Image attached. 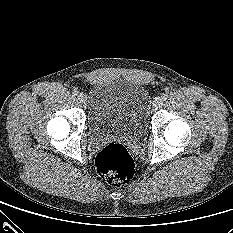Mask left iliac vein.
Instances as JSON below:
<instances>
[{"label": "left iliac vein", "mask_w": 233, "mask_h": 233, "mask_svg": "<svg viewBox=\"0 0 233 233\" xmlns=\"http://www.w3.org/2000/svg\"><path fill=\"white\" fill-rule=\"evenodd\" d=\"M163 104V99L161 97H156L155 100L153 101V107L154 108H159Z\"/></svg>", "instance_id": "1"}]
</instances>
